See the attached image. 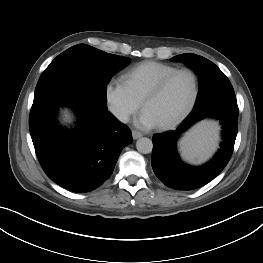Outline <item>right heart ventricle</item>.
<instances>
[{"label":"right heart ventricle","mask_w":263,"mask_h":263,"mask_svg":"<svg viewBox=\"0 0 263 263\" xmlns=\"http://www.w3.org/2000/svg\"><path fill=\"white\" fill-rule=\"evenodd\" d=\"M175 70L177 68L169 64L145 61L125 71L122 80L133 96L142 102L144 96L161 78Z\"/></svg>","instance_id":"e07e8e85"}]
</instances>
